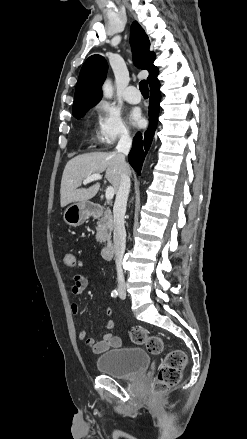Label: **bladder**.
<instances>
[{"mask_svg": "<svg viewBox=\"0 0 247 439\" xmlns=\"http://www.w3.org/2000/svg\"><path fill=\"white\" fill-rule=\"evenodd\" d=\"M150 364L149 354L141 348L123 347L109 350L96 360L99 372L122 380L142 375Z\"/></svg>", "mask_w": 247, "mask_h": 439, "instance_id": "bladder-1", "label": "bladder"}]
</instances>
